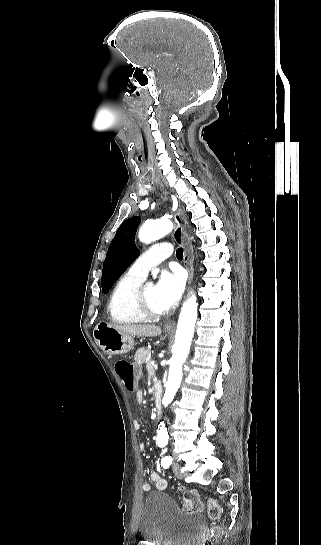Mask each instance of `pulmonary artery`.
Returning <instances> with one entry per match:
<instances>
[{"label":"pulmonary artery","mask_w":321,"mask_h":545,"mask_svg":"<svg viewBox=\"0 0 321 545\" xmlns=\"http://www.w3.org/2000/svg\"><path fill=\"white\" fill-rule=\"evenodd\" d=\"M155 247L156 250H147L140 254L136 261L130 265L128 273L143 280L152 267L161 261H165L167 259V243L165 241H158Z\"/></svg>","instance_id":"e3ab8cb5"}]
</instances>
